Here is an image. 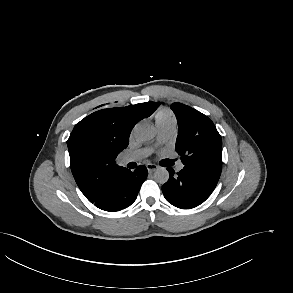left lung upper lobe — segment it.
I'll return each instance as SVG.
<instances>
[{
	"mask_svg": "<svg viewBox=\"0 0 293 293\" xmlns=\"http://www.w3.org/2000/svg\"><path fill=\"white\" fill-rule=\"evenodd\" d=\"M171 109L178 122L175 149L184 165L222 169V139L213 122L201 112L181 103Z\"/></svg>",
	"mask_w": 293,
	"mask_h": 293,
	"instance_id": "5c2ea615",
	"label": "left lung upper lobe"
}]
</instances>
